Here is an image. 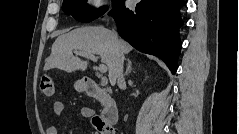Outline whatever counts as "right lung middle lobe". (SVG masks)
<instances>
[{
  "label": "right lung middle lobe",
  "mask_w": 239,
  "mask_h": 134,
  "mask_svg": "<svg viewBox=\"0 0 239 134\" xmlns=\"http://www.w3.org/2000/svg\"><path fill=\"white\" fill-rule=\"evenodd\" d=\"M118 2L119 0H112V6ZM62 9L66 14L72 15L76 20L87 23L102 16L108 8L104 6L94 10L87 4V0H64Z\"/></svg>",
  "instance_id": "1"
}]
</instances>
